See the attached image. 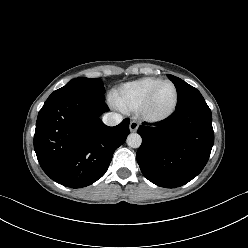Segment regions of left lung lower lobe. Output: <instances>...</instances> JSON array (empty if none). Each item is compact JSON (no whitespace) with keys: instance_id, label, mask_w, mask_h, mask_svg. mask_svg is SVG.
<instances>
[{"instance_id":"obj_1","label":"left lung lower lobe","mask_w":248,"mask_h":248,"mask_svg":"<svg viewBox=\"0 0 248 248\" xmlns=\"http://www.w3.org/2000/svg\"><path fill=\"white\" fill-rule=\"evenodd\" d=\"M136 157L143 175L166 188L182 186L206 165L214 143L212 114L205 100H197L154 127L140 126Z\"/></svg>"}]
</instances>
